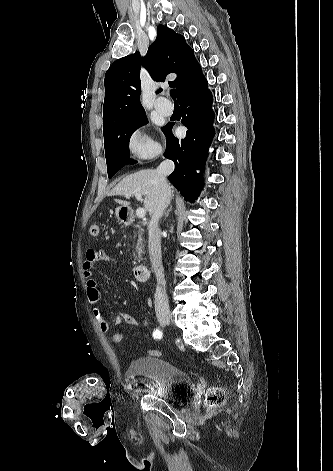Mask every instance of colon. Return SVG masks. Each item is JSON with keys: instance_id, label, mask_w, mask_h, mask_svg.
I'll return each mask as SVG.
<instances>
[{"instance_id": "colon-1", "label": "colon", "mask_w": 333, "mask_h": 471, "mask_svg": "<svg viewBox=\"0 0 333 471\" xmlns=\"http://www.w3.org/2000/svg\"><path fill=\"white\" fill-rule=\"evenodd\" d=\"M89 233L91 236L96 237L99 235V226L97 224H92L89 228ZM125 336L122 332H115L112 335V341L115 345H122L124 342ZM150 355L153 357H158L161 355V352L158 350L150 351ZM225 402V392L220 387H213L206 393V403L210 408H215L221 406Z\"/></svg>"}]
</instances>
